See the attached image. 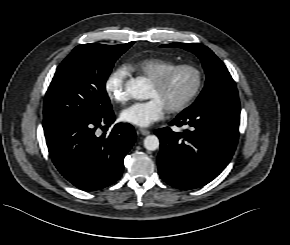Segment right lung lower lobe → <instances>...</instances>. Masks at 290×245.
I'll return each mask as SVG.
<instances>
[{"instance_id": "1", "label": "right lung lower lobe", "mask_w": 290, "mask_h": 245, "mask_svg": "<svg viewBox=\"0 0 290 245\" xmlns=\"http://www.w3.org/2000/svg\"><path fill=\"white\" fill-rule=\"evenodd\" d=\"M111 110L102 118L43 123L51 159L59 172L77 188L95 191L117 181L123 159L133 146L136 133L127 123L116 124L109 135L96 130L114 122Z\"/></svg>"}]
</instances>
